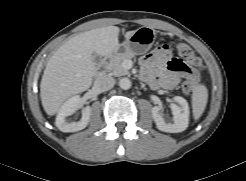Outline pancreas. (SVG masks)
Wrapping results in <instances>:
<instances>
[{
    "label": "pancreas",
    "instance_id": "obj_1",
    "mask_svg": "<svg viewBox=\"0 0 246 181\" xmlns=\"http://www.w3.org/2000/svg\"><path fill=\"white\" fill-rule=\"evenodd\" d=\"M133 57L134 54L128 52L116 55L107 63L106 70L114 76L128 75L129 71L124 67L123 63L125 60H130Z\"/></svg>",
    "mask_w": 246,
    "mask_h": 181
}]
</instances>
